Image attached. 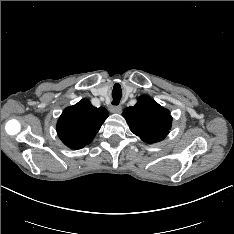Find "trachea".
<instances>
[{
  "label": "trachea",
  "mask_w": 234,
  "mask_h": 234,
  "mask_svg": "<svg viewBox=\"0 0 234 234\" xmlns=\"http://www.w3.org/2000/svg\"><path fill=\"white\" fill-rule=\"evenodd\" d=\"M119 104V99L114 98V100L112 101V105H118Z\"/></svg>",
  "instance_id": "trachea-1"
}]
</instances>
